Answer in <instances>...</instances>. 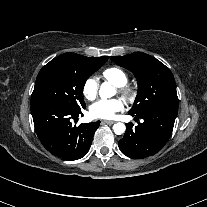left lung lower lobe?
Instances as JSON below:
<instances>
[{
  "label": "left lung lower lobe",
  "mask_w": 207,
  "mask_h": 207,
  "mask_svg": "<svg viewBox=\"0 0 207 207\" xmlns=\"http://www.w3.org/2000/svg\"><path fill=\"white\" fill-rule=\"evenodd\" d=\"M178 108L159 106L132 116L143 119L133 127L127 124L124 137L119 141L121 151L130 158L142 159L160 151L169 140Z\"/></svg>",
  "instance_id": "0a47b994"
}]
</instances>
